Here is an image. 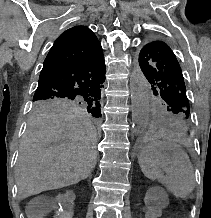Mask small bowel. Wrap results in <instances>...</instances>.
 Returning <instances> with one entry per match:
<instances>
[{
  "instance_id": "c3829d8e",
  "label": "small bowel",
  "mask_w": 211,
  "mask_h": 218,
  "mask_svg": "<svg viewBox=\"0 0 211 218\" xmlns=\"http://www.w3.org/2000/svg\"><path fill=\"white\" fill-rule=\"evenodd\" d=\"M69 216V211L62 207H58L53 211V218H69ZM159 216L160 212L155 208L148 209L145 214L146 218H158Z\"/></svg>"
}]
</instances>
